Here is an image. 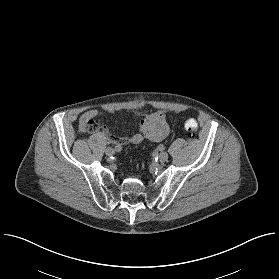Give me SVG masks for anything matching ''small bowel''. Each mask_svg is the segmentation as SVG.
I'll use <instances>...</instances> for the list:
<instances>
[{"label": "small bowel", "mask_w": 279, "mask_h": 279, "mask_svg": "<svg viewBox=\"0 0 279 279\" xmlns=\"http://www.w3.org/2000/svg\"><path fill=\"white\" fill-rule=\"evenodd\" d=\"M109 112H113V108L106 109ZM102 115V112L97 109H91L85 111L80 117V128L82 131L86 124H90L93 131L101 129L104 133L106 139L112 145H126V144H138L143 139H148L151 141H161L166 138L169 134V124H168V117L169 115L165 112L158 111L153 112L146 115L140 121V133H135L128 136L117 137L115 136L108 127L106 126H99L98 123L92 121L93 118L99 117Z\"/></svg>", "instance_id": "1"}]
</instances>
